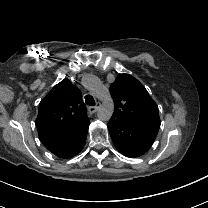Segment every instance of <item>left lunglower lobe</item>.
<instances>
[{
  "instance_id": "1",
  "label": "left lung lower lobe",
  "mask_w": 208,
  "mask_h": 208,
  "mask_svg": "<svg viewBox=\"0 0 208 208\" xmlns=\"http://www.w3.org/2000/svg\"><path fill=\"white\" fill-rule=\"evenodd\" d=\"M108 130L118 152L129 158L140 157L153 144L133 127L113 119L108 122Z\"/></svg>"
}]
</instances>
